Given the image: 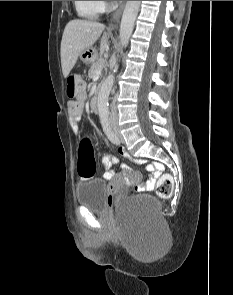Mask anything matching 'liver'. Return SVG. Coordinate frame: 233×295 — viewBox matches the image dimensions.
Returning a JSON list of instances; mask_svg holds the SVG:
<instances>
[{
  "label": "liver",
  "instance_id": "obj_1",
  "mask_svg": "<svg viewBox=\"0 0 233 295\" xmlns=\"http://www.w3.org/2000/svg\"><path fill=\"white\" fill-rule=\"evenodd\" d=\"M104 29V24L89 20L75 19L68 22L63 32L60 52L62 72L65 78L76 64L80 54L92 47ZM107 44L108 38L105 33L100 46L101 55L105 52Z\"/></svg>",
  "mask_w": 233,
  "mask_h": 295
}]
</instances>
